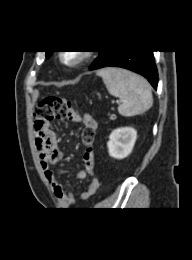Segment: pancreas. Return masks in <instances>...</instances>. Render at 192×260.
Segmentation results:
<instances>
[{
    "label": "pancreas",
    "instance_id": "cf45deb5",
    "mask_svg": "<svg viewBox=\"0 0 192 260\" xmlns=\"http://www.w3.org/2000/svg\"><path fill=\"white\" fill-rule=\"evenodd\" d=\"M115 118H116V115H114V114L110 115L111 120H114Z\"/></svg>",
    "mask_w": 192,
    "mask_h": 260
}]
</instances>
